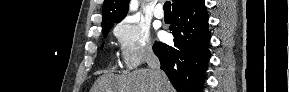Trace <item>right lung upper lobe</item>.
Returning <instances> with one entry per match:
<instances>
[{"mask_svg": "<svg viewBox=\"0 0 289 92\" xmlns=\"http://www.w3.org/2000/svg\"><path fill=\"white\" fill-rule=\"evenodd\" d=\"M197 0H172V11L192 5ZM129 0H104L102 28L120 22L127 14Z\"/></svg>", "mask_w": 289, "mask_h": 92, "instance_id": "obj_1", "label": "right lung upper lobe"}]
</instances>
